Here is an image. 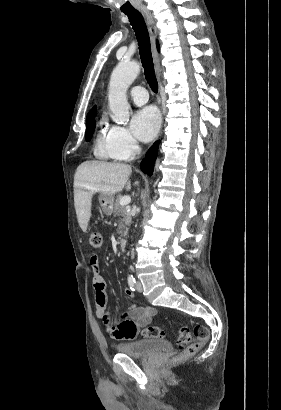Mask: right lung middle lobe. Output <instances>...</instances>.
<instances>
[{"label": "right lung middle lobe", "instance_id": "dd1d6c3e", "mask_svg": "<svg viewBox=\"0 0 281 410\" xmlns=\"http://www.w3.org/2000/svg\"><path fill=\"white\" fill-rule=\"evenodd\" d=\"M95 116L86 119V141H90L95 129Z\"/></svg>", "mask_w": 281, "mask_h": 410}]
</instances>
